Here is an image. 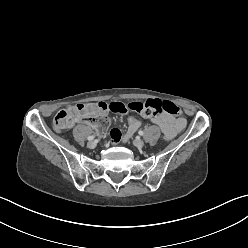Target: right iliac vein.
Here are the masks:
<instances>
[{
  "instance_id": "right-iliac-vein-1",
  "label": "right iliac vein",
  "mask_w": 248,
  "mask_h": 248,
  "mask_svg": "<svg viewBox=\"0 0 248 248\" xmlns=\"http://www.w3.org/2000/svg\"><path fill=\"white\" fill-rule=\"evenodd\" d=\"M96 145H97V144H96L95 141H89V142L87 143V146H88V148H90V149L95 148Z\"/></svg>"
}]
</instances>
